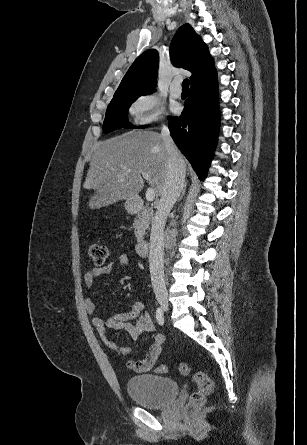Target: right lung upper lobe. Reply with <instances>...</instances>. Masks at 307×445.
<instances>
[{
  "label": "right lung upper lobe",
  "instance_id": "cb5924a9",
  "mask_svg": "<svg viewBox=\"0 0 307 445\" xmlns=\"http://www.w3.org/2000/svg\"><path fill=\"white\" fill-rule=\"evenodd\" d=\"M170 58L174 66L192 73L191 83L214 67L207 45L189 24L176 32L170 45ZM158 63L157 50L142 53L127 71L111 101L152 93L157 83Z\"/></svg>",
  "mask_w": 307,
  "mask_h": 445
}]
</instances>
